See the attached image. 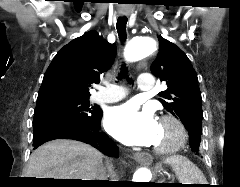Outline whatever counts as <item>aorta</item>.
Masks as SVG:
<instances>
[{
  "instance_id": "aorta-1",
  "label": "aorta",
  "mask_w": 240,
  "mask_h": 187,
  "mask_svg": "<svg viewBox=\"0 0 240 187\" xmlns=\"http://www.w3.org/2000/svg\"><path fill=\"white\" fill-rule=\"evenodd\" d=\"M156 49V42L151 37H136L129 42L125 50V58L130 62L138 61L153 54ZM151 178L150 170L139 168L134 173L132 182H150Z\"/></svg>"
}]
</instances>
